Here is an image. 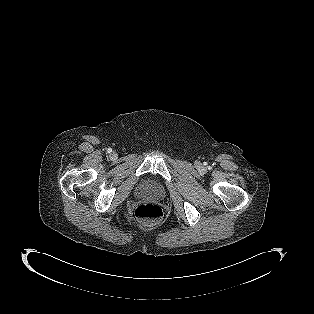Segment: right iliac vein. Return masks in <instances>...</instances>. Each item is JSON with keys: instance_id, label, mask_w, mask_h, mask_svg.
Here are the masks:
<instances>
[{"instance_id": "1", "label": "right iliac vein", "mask_w": 314, "mask_h": 314, "mask_svg": "<svg viewBox=\"0 0 314 314\" xmlns=\"http://www.w3.org/2000/svg\"><path fill=\"white\" fill-rule=\"evenodd\" d=\"M111 158H112V159L116 158V153L112 152V153H111Z\"/></svg>"}]
</instances>
